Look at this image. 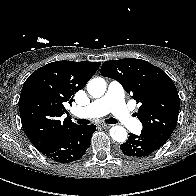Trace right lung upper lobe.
Segmentation results:
<instances>
[{"mask_svg": "<svg viewBox=\"0 0 196 196\" xmlns=\"http://www.w3.org/2000/svg\"><path fill=\"white\" fill-rule=\"evenodd\" d=\"M100 62L56 61L34 71L25 81L19 110L23 130L40 151L76 126L65 105L73 102L74 94L85 87Z\"/></svg>", "mask_w": 196, "mask_h": 196, "instance_id": "obj_1", "label": "right lung upper lobe"}]
</instances>
